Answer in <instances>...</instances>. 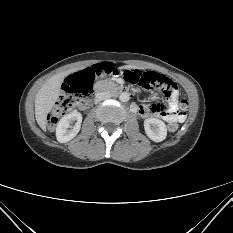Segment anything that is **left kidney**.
<instances>
[{"label": "left kidney", "instance_id": "left-kidney-1", "mask_svg": "<svg viewBox=\"0 0 233 233\" xmlns=\"http://www.w3.org/2000/svg\"><path fill=\"white\" fill-rule=\"evenodd\" d=\"M146 135L155 142L163 141L167 136L165 123L157 118H148L144 121Z\"/></svg>", "mask_w": 233, "mask_h": 233}]
</instances>
